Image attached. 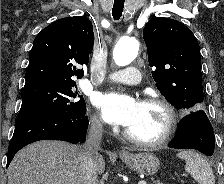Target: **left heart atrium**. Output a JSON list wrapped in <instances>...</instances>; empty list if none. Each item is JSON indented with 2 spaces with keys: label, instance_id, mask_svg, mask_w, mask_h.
Wrapping results in <instances>:
<instances>
[{
  "label": "left heart atrium",
  "instance_id": "39dd6f15",
  "mask_svg": "<svg viewBox=\"0 0 224 184\" xmlns=\"http://www.w3.org/2000/svg\"><path fill=\"white\" fill-rule=\"evenodd\" d=\"M95 103L108 123L124 127L135 121L141 104L133 97L116 93L101 95Z\"/></svg>",
  "mask_w": 224,
  "mask_h": 184
}]
</instances>
